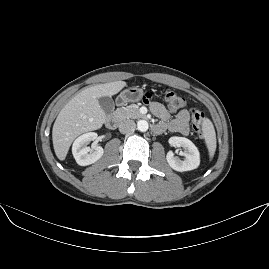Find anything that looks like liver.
I'll list each match as a JSON object with an SVG mask.
<instances>
[{"label":"liver","mask_w":269,"mask_h":269,"mask_svg":"<svg viewBox=\"0 0 269 269\" xmlns=\"http://www.w3.org/2000/svg\"><path fill=\"white\" fill-rule=\"evenodd\" d=\"M126 86L115 81L89 87L72 98L59 112L52 131L53 146L59 160H64L74 139L80 134L97 130L106 114L99 105L100 97L117 94Z\"/></svg>","instance_id":"6515ba94"}]
</instances>
